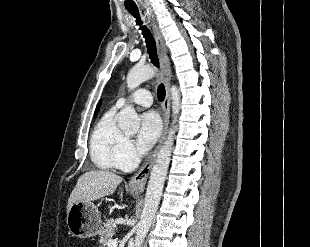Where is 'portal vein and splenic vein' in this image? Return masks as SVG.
<instances>
[{"instance_id": "18ae733b", "label": "portal vein and splenic vein", "mask_w": 310, "mask_h": 247, "mask_svg": "<svg viewBox=\"0 0 310 247\" xmlns=\"http://www.w3.org/2000/svg\"><path fill=\"white\" fill-rule=\"evenodd\" d=\"M117 245H118V243L116 240H111L107 244L108 247H117Z\"/></svg>"}]
</instances>
